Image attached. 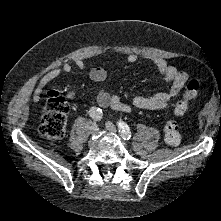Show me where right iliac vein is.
Returning <instances> with one entry per match:
<instances>
[{
	"label": "right iliac vein",
	"instance_id": "obj_1",
	"mask_svg": "<svg viewBox=\"0 0 221 221\" xmlns=\"http://www.w3.org/2000/svg\"><path fill=\"white\" fill-rule=\"evenodd\" d=\"M99 128L96 124H94L92 127H91V133L92 134H96L98 132Z\"/></svg>",
	"mask_w": 221,
	"mask_h": 221
}]
</instances>
